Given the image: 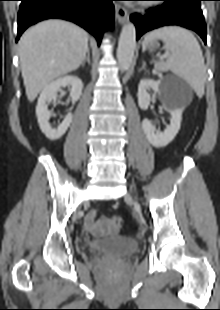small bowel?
I'll list each match as a JSON object with an SVG mask.
<instances>
[{
    "instance_id": "obj_1",
    "label": "small bowel",
    "mask_w": 220,
    "mask_h": 310,
    "mask_svg": "<svg viewBox=\"0 0 220 310\" xmlns=\"http://www.w3.org/2000/svg\"><path fill=\"white\" fill-rule=\"evenodd\" d=\"M83 227L87 232L96 235H102L112 231L108 219L105 217L98 218L96 211H92L84 218Z\"/></svg>"
}]
</instances>
